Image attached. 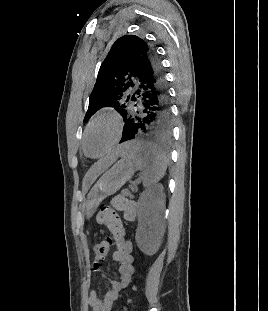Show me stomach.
I'll use <instances>...</instances> for the list:
<instances>
[{
	"mask_svg": "<svg viewBox=\"0 0 268 311\" xmlns=\"http://www.w3.org/2000/svg\"><path fill=\"white\" fill-rule=\"evenodd\" d=\"M135 164L123 157L107 170L92 187L87 195L86 215L90 217L99 203L106 197L115 194L135 173Z\"/></svg>",
	"mask_w": 268,
	"mask_h": 311,
	"instance_id": "obj_1",
	"label": "stomach"
}]
</instances>
